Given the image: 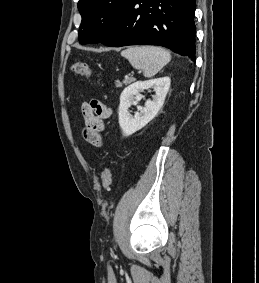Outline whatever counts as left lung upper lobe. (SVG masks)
Wrapping results in <instances>:
<instances>
[{
  "label": "left lung upper lobe",
  "mask_w": 259,
  "mask_h": 283,
  "mask_svg": "<svg viewBox=\"0 0 259 283\" xmlns=\"http://www.w3.org/2000/svg\"><path fill=\"white\" fill-rule=\"evenodd\" d=\"M131 0H79V42L101 43L116 29Z\"/></svg>",
  "instance_id": "obj_1"
}]
</instances>
